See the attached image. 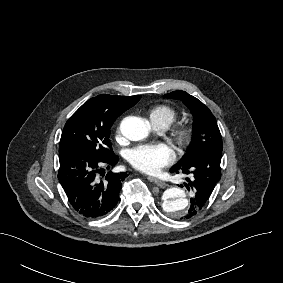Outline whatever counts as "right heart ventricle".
<instances>
[{
    "instance_id": "obj_1",
    "label": "right heart ventricle",
    "mask_w": 283,
    "mask_h": 283,
    "mask_svg": "<svg viewBox=\"0 0 283 283\" xmlns=\"http://www.w3.org/2000/svg\"><path fill=\"white\" fill-rule=\"evenodd\" d=\"M178 117V112L175 108L166 104L154 106L149 112L151 123L161 129L168 128L173 124Z\"/></svg>"
}]
</instances>
